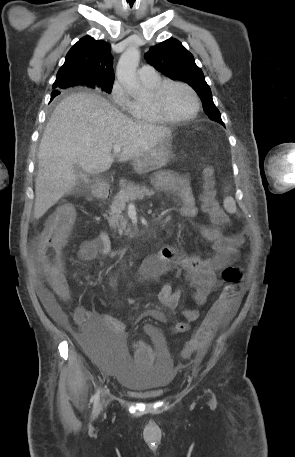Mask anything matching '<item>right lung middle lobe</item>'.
Here are the masks:
<instances>
[{
  "mask_svg": "<svg viewBox=\"0 0 295 457\" xmlns=\"http://www.w3.org/2000/svg\"><path fill=\"white\" fill-rule=\"evenodd\" d=\"M71 86H77L76 84H71V85H67V87H71ZM112 86H113V83H110V84H106V85H103V86H96V87H91V88H101V90L107 92V93H110L111 90H112Z\"/></svg>",
  "mask_w": 295,
  "mask_h": 457,
  "instance_id": "1",
  "label": "right lung middle lobe"
}]
</instances>
